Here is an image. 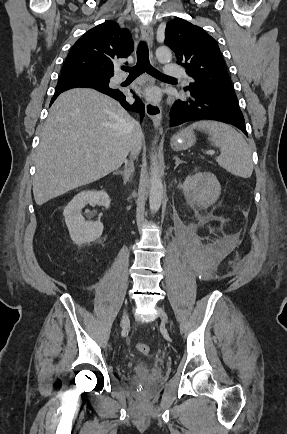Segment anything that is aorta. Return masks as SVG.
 <instances>
[{
	"label": "aorta",
	"instance_id": "aorta-1",
	"mask_svg": "<svg viewBox=\"0 0 287 434\" xmlns=\"http://www.w3.org/2000/svg\"><path fill=\"white\" fill-rule=\"evenodd\" d=\"M156 58L159 63L164 64L168 63L172 59V54L169 48L161 46L156 49ZM156 144V140L153 142V145ZM154 150V148H153ZM151 159V185H150V193H149V208L152 213H156L162 203L163 199V183L161 180V175L158 168V162L155 150L150 155Z\"/></svg>",
	"mask_w": 287,
	"mask_h": 434
}]
</instances>
